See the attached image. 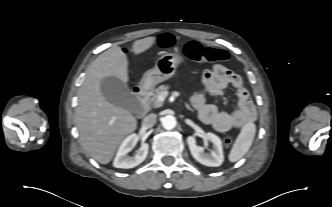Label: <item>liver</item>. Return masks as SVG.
I'll list each match as a JSON object with an SVG mask.
<instances>
[{
    "label": "liver",
    "instance_id": "liver-1",
    "mask_svg": "<svg viewBox=\"0 0 332 207\" xmlns=\"http://www.w3.org/2000/svg\"><path fill=\"white\" fill-rule=\"evenodd\" d=\"M156 37H147L133 43L135 55L148 50ZM128 59L119 46L100 54L87 68L80 88L75 121L85 152L101 164H108L122 142L136 130V118L125 108L109 103L102 95L100 82L105 77H117L128 82Z\"/></svg>",
    "mask_w": 332,
    "mask_h": 207
}]
</instances>
